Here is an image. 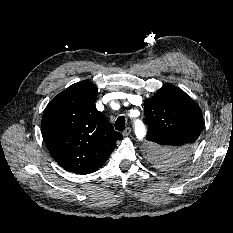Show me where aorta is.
Here are the masks:
<instances>
[{
    "label": "aorta",
    "instance_id": "aorta-1",
    "mask_svg": "<svg viewBox=\"0 0 233 233\" xmlns=\"http://www.w3.org/2000/svg\"><path fill=\"white\" fill-rule=\"evenodd\" d=\"M134 131L137 139L141 140L145 137L146 134V128L142 121L136 120L134 122Z\"/></svg>",
    "mask_w": 233,
    "mask_h": 233
}]
</instances>
